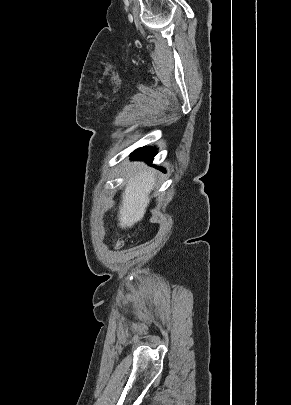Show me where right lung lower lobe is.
Instances as JSON below:
<instances>
[{
    "label": "right lung lower lobe",
    "instance_id": "right-lung-lower-lobe-1",
    "mask_svg": "<svg viewBox=\"0 0 291 405\" xmlns=\"http://www.w3.org/2000/svg\"><path fill=\"white\" fill-rule=\"evenodd\" d=\"M157 153L156 147H142L132 153L133 159L152 162Z\"/></svg>",
    "mask_w": 291,
    "mask_h": 405
}]
</instances>
